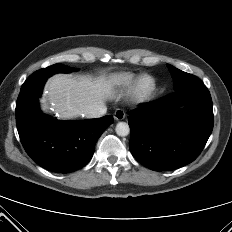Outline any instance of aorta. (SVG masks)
Segmentation results:
<instances>
[{
  "label": "aorta",
  "mask_w": 232,
  "mask_h": 232,
  "mask_svg": "<svg viewBox=\"0 0 232 232\" xmlns=\"http://www.w3.org/2000/svg\"><path fill=\"white\" fill-rule=\"evenodd\" d=\"M115 131L118 136H127L130 132L129 125L126 122H119L116 125Z\"/></svg>",
  "instance_id": "aorta-1"
}]
</instances>
